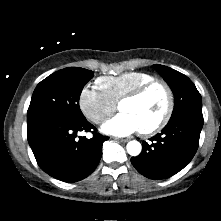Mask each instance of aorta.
<instances>
[{"instance_id":"aorta-1","label":"aorta","mask_w":221,"mask_h":221,"mask_svg":"<svg viewBox=\"0 0 221 221\" xmlns=\"http://www.w3.org/2000/svg\"><path fill=\"white\" fill-rule=\"evenodd\" d=\"M126 149L129 155L138 156L142 150V146L138 141L133 140L127 143Z\"/></svg>"}]
</instances>
